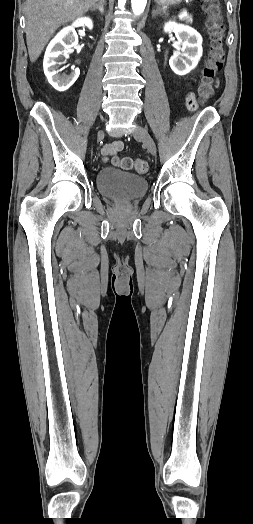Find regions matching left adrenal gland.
<instances>
[{
    "instance_id": "1",
    "label": "left adrenal gland",
    "mask_w": 253,
    "mask_h": 524,
    "mask_svg": "<svg viewBox=\"0 0 253 524\" xmlns=\"http://www.w3.org/2000/svg\"><path fill=\"white\" fill-rule=\"evenodd\" d=\"M160 12V9L156 8V9H153L152 11V17H154L155 15L159 14Z\"/></svg>"
}]
</instances>
